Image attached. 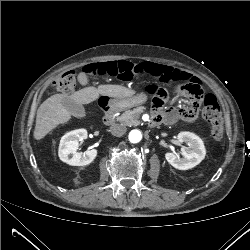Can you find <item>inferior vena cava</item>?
<instances>
[{
  "label": "inferior vena cava",
  "instance_id": "obj_1",
  "mask_svg": "<svg viewBox=\"0 0 250 250\" xmlns=\"http://www.w3.org/2000/svg\"><path fill=\"white\" fill-rule=\"evenodd\" d=\"M126 131H127L126 126L122 124H114L110 127V132L112 133V135L117 137H121L126 133Z\"/></svg>",
  "mask_w": 250,
  "mask_h": 250
}]
</instances>
